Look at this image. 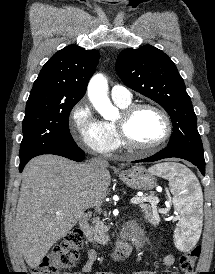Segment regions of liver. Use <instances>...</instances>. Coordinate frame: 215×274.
Wrapping results in <instances>:
<instances>
[{
  "instance_id": "6515ba94",
  "label": "liver",
  "mask_w": 215,
  "mask_h": 274,
  "mask_svg": "<svg viewBox=\"0 0 215 274\" xmlns=\"http://www.w3.org/2000/svg\"><path fill=\"white\" fill-rule=\"evenodd\" d=\"M106 167L90 170L89 163L54 155L39 156L27 163L14 229L17 247L31 268L39 266L86 209L105 197L111 183Z\"/></svg>"
}]
</instances>
